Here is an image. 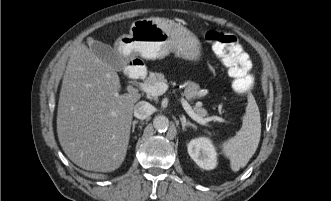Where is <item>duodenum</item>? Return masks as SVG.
I'll list each match as a JSON object with an SVG mask.
<instances>
[{"label": "duodenum", "instance_id": "1", "mask_svg": "<svg viewBox=\"0 0 331 201\" xmlns=\"http://www.w3.org/2000/svg\"><path fill=\"white\" fill-rule=\"evenodd\" d=\"M126 64L128 66L126 73L130 78L140 79L145 75L146 67L141 59L137 57L131 58Z\"/></svg>", "mask_w": 331, "mask_h": 201}]
</instances>
